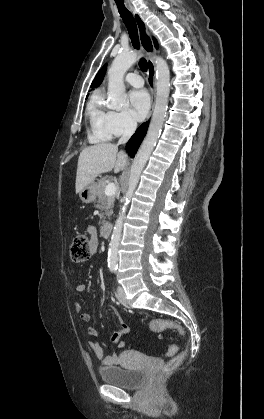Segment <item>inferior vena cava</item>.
Returning a JSON list of instances; mask_svg holds the SVG:
<instances>
[{
	"label": "inferior vena cava",
	"instance_id": "obj_1",
	"mask_svg": "<svg viewBox=\"0 0 264 419\" xmlns=\"http://www.w3.org/2000/svg\"><path fill=\"white\" fill-rule=\"evenodd\" d=\"M137 128V123L133 119H128L125 123L124 132L122 137L119 139L118 144H125L128 142L130 137L134 134Z\"/></svg>",
	"mask_w": 264,
	"mask_h": 419
}]
</instances>
